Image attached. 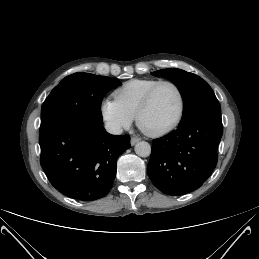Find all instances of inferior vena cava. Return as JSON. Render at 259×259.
I'll return each instance as SVG.
<instances>
[{"instance_id":"602c4592","label":"inferior vena cava","mask_w":259,"mask_h":259,"mask_svg":"<svg viewBox=\"0 0 259 259\" xmlns=\"http://www.w3.org/2000/svg\"><path fill=\"white\" fill-rule=\"evenodd\" d=\"M105 129L110 134L119 135V134H122V132H123V129L121 128V126L114 122H107L105 124Z\"/></svg>"}]
</instances>
